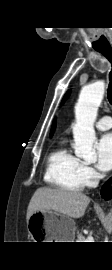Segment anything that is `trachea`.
I'll use <instances>...</instances> for the list:
<instances>
[{"instance_id": "3493384b", "label": "trachea", "mask_w": 112, "mask_h": 270, "mask_svg": "<svg viewBox=\"0 0 112 270\" xmlns=\"http://www.w3.org/2000/svg\"><path fill=\"white\" fill-rule=\"evenodd\" d=\"M96 51L103 54L108 59V61L111 63V66H112V48L111 47L96 49ZM107 98H108L109 103L112 105V70L109 73V86L107 89Z\"/></svg>"}]
</instances>
